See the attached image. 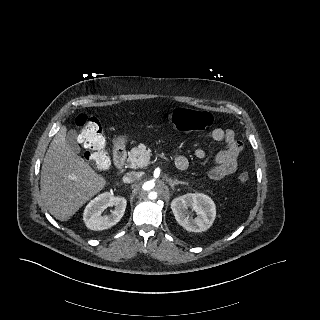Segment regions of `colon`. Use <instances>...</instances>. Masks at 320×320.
Here are the masks:
<instances>
[{
  "label": "colon",
  "mask_w": 320,
  "mask_h": 320,
  "mask_svg": "<svg viewBox=\"0 0 320 320\" xmlns=\"http://www.w3.org/2000/svg\"><path fill=\"white\" fill-rule=\"evenodd\" d=\"M165 117L181 131H203L214 123L211 113L184 107L174 109ZM75 124L80 129L85 157L97 169H108L111 160L105 150L106 139L100 121L96 117L81 114L76 118ZM237 179L240 183H246L250 179V174L242 171L238 174Z\"/></svg>",
  "instance_id": "5ec220e1"
}]
</instances>
